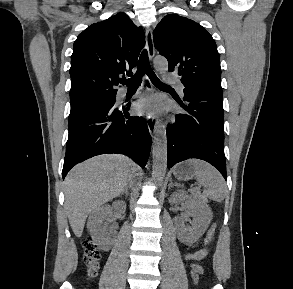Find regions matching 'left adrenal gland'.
<instances>
[{
	"instance_id": "a2214340",
	"label": "left adrenal gland",
	"mask_w": 293,
	"mask_h": 289,
	"mask_svg": "<svg viewBox=\"0 0 293 289\" xmlns=\"http://www.w3.org/2000/svg\"><path fill=\"white\" fill-rule=\"evenodd\" d=\"M173 186H174V184H173V182H172V179H170V183H169L168 189H170V188L173 187Z\"/></svg>"
}]
</instances>
